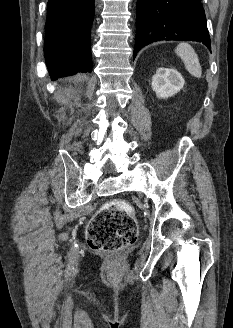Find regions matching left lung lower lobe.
Masks as SVG:
<instances>
[{"mask_svg": "<svg viewBox=\"0 0 233 328\" xmlns=\"http://www.w3.org/2000/svg\"><path fill=\"white\" fill-rule=\"evenodd\" d=\"M160 40H194L210 47L200 0H138L134 58L145 45Z\"/></svg>", "mask_w": 233, "mask_h": 328, "instance_id": "obj_1", "label": "left lung lower lobe"}]
</instances>
